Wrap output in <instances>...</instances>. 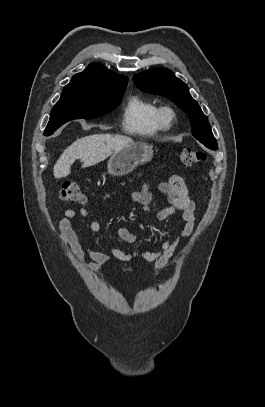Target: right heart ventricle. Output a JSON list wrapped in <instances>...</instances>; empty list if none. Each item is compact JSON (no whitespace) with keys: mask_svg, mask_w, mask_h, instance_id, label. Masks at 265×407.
I'll use <instances>...</instances> for the list:
<instances>
[{"mask_svg":"<svg viewBox=\"0 0 265 407\" xmlns=\"http://www.w3.org/2000/svg\"><path fill=\"white\" fill-rule=\"evenodd\" d=\"M159 107L139 95L131 96L123 110V128L137 137H151L162 131L158 121Z\"/></svg>","mask_w":265,"mask_h":407,"instance_id":"right-heart-ventricle-1","label":"right heart ventricle"}]
</instances>
